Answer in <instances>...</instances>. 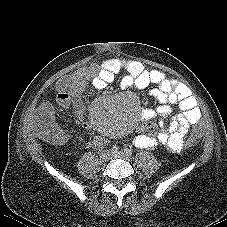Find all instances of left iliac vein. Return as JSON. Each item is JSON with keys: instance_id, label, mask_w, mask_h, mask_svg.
Returning a JSON list of instances; mask_svg holds the SVG:
<instances>
[{"instance_id": "1", "label": "left iliac vein", "mask_w": 227, "mask_h": 227, "mask_svg": "<svg viewBox=\"0 0 227 227\" xmlns=\"http://www.w3.org/2000/svg\"><path fill=\"white\" fill-rule=\"evenodd\" d=\"M111 157H113V158H121V159H124V160H129L131 158V156L128 153L122 152V151L117 152V153H112Z\"/></svg>"}]
</instances>
